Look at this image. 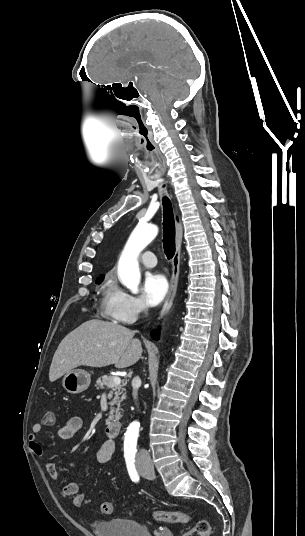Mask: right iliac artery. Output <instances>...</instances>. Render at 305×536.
Wrapping results in <instances>:
<instances>
[{"instance_id":"1","label":"right iliac artery","mask_w":305,"mask_h":536,"mask_svg":"<svg viewBox=\"0 0 305 536\" xmlns=\"http://www.w3.org/2000/svg\"><path fill=\"white\" fill-rule=\"evenodd\" d=\"M125 461H126V466H127V470H128V473L130 475V478L132 481L134 482H138L139 481V476H138V473L135 469V460L134 458H131L129 457L128 455L125 456Z\"/></svg>"}]
</instances>
